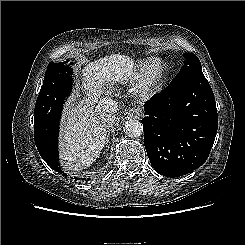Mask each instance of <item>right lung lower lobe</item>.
<instances>
[{"label": "right lung lower lobe", "instance_id": "98d812e1", "mask_svg": "<svg viewBox=\"0 0 245 245\" xmlns=\"http://www.w3.org/2000/svg\"><path fill=\"white\" fill-rule=\"evenodd\" d=\"M60 117L49 120L35 117L34 140L39 154L46 163L56 172L63 173L59 167L60 163L58 155Z\"/></svg>", "mask_w": 245, "mask_h": 245}]
</instances>
